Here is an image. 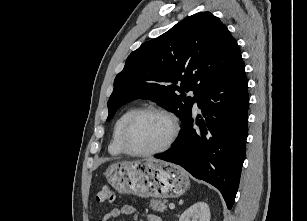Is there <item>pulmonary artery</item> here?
Segmentation results:
<instances>
[{
	"label": "pulmonary artery",
	"instance_id": "obj_1",
	"mask_svg": "<svg viewBox=\"0 0 307 221\" xmlns=\"http://www.w3.org/2000/svg\"><path fill=\"white\" fill-rule=\"evenodd\" d=\"M196 106H198V102H196Z\"/></svg>",
	"mask_w": 307,
	"mask_h": 221
}]
</instances>
